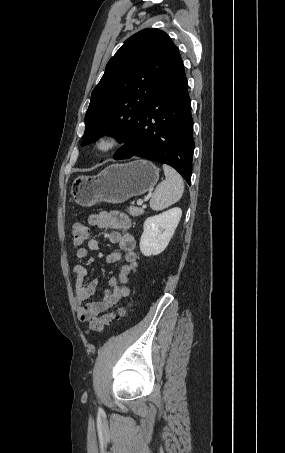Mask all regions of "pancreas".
Returning a JSON list of instances; mask_svg holds the SVG:
<instances>
[{
  "label": "pancreas",
  "instance_id": "1",
  "mask_svg": "<svg viewBox=\"0 0 285 453\" xmlns=\"http://www.w3.org/2000/svg\"><path fill=\"white\" fill-rule=\"evenodd\" d=\"M128 214H130L132 217H137L140 216L141 214L144 213L143 208H138L135 206H129L127 209Z\"/></svg>",
  "mask_w": 285,
  "mask_h": 453
}]
</instances>
